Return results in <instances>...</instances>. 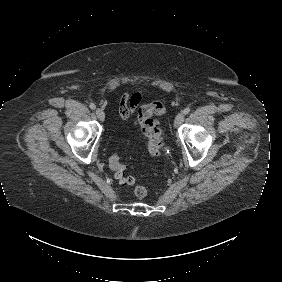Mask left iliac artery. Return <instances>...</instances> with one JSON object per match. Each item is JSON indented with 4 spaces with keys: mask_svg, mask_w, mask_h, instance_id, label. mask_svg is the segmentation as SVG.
I'll use <instances>...</instances> for the list:
<instances>
[{
    "mask_svg": "<svg viewBox=\"0 0 282 282\" xmlns=\"http://www.w3.org/2000/svg\"><path fill=\"white\" fill-rule=\"evenodd\" d=\"M190 108L189 107H186L184 110H183V113L184 114H188L190 112Z\"/></svg>",
    "mask_w": 282,
    "mask_h": 282,
    "instance_id": "44dca946",
    "label": "left iliac artery"
}]
</instances>
